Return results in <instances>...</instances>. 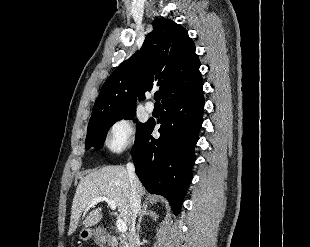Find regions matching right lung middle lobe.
<instances>
[{"mask_svg":"<svg viewBox=\"0 0 310 247\" xmlns=\"http://www.w3.org/2000/svg\"><path fill=\"white\" fill-rule=\"evenodd\" d=\"M135 117V110H130L126 112H122L116 115L111 116H105L101 117L91 123L88 124V130H87V137L85 141V146L87 149L90 147H96L101 148L105 138L106 134L116 121H119L121 119H133ZM136 122V120H135ZM146 123H137L136 125V136L139 134V132L143 129Z\"/></svg>","mask_w":310,"mask_h":247,"instance_id":"obj_1","label":"right lung middle lobe"}]
</instances>
